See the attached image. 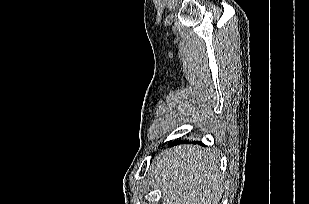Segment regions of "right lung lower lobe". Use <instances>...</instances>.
Here are the masks:
<instances>
[{
  "instance_id": "98d812e1",
  "label": "right lung lower lobe",
  "mask_w": 309,
  "mask_h": 204,
  "mask_svg": "<svg viewBox=\"0 0 309 204\" xmlns=\"http://www.w3.org/2000/svg\"><path fill=\"white\" fill-rule=\"evenodd\" d=\"M179 143H181V141L176 140V141H174V142H170V143L168 144V146L176 145V144H179Z\"/></svg>"
}]
</instances>
